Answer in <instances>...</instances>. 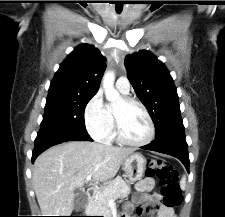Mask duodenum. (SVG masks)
Segmentation results:
<instances>
[{"mask_svg": "<svg viewBox=\"0 0 225 217\" xmlns=\"http://www.w3.org/2000/svg\"><path fill=\"white\" fill-rule=\"evenodd\" d=\"M94 198V191L93 190H88L87 191V199L91 201Z\"/></svg>", "mask_w": 225, "mask_h": 217, "instance_id": "1", "label": "duodenum"}]
</instances>
